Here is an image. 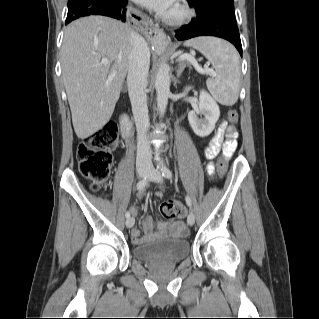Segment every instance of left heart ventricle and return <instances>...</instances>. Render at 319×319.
<instances>
[{
    "label": "left heart ventricle",
    "mask_w": 319,
    "mask_h": 319,
    "mask_svg": "<svg viewBox=\"0 0 319 319\" xmlns=\"http://www.w3.org/2000/svg\"><path fill=\"white\" fill-rule=\"evenodd\" d=\"M176 2L173 4V6L171 7V9L168 11L167 14H173L176 11V7H175Z\"/></svg>",
    "instance_id": "left-heart-ventricle-1"
}]
</instances>
